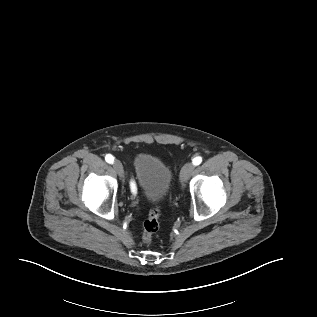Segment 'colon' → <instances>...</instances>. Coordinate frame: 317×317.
<instances>
[{"instance_id": "colon-1", "label": "colon", "mask_w": 317, "mask_h": 317, "mask_svg": "<svg viewBox=\"0 0 317 317\" xmlns=\"http://www.w3.org/2000/svg\"><path fill=\"white\" fill-rule=\"evenodd\" d=\"M160 215V207L154 205L149 211L148 217L143 224V240L145 243L151 242L152 236L158 231Z\"/></svg>"}]
</instances>
